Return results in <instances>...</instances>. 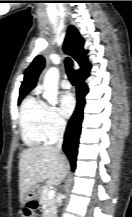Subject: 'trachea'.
Returning <instances> with one entry per match:
<instances>
[{"mask_svg":"<svg viewBox=\"0 0 132 217\" xmlns=\"http://www.w3.org/2000/svg\"><path fill=\"white\" fill-rule=\"evenodd\" d=\"M72 65H73V61L70 58H66V60H65L66 73L68 75L70 82L73 85H75L76 84V75H75V72H74Z\"/></svg>","mask_w":132,"mask_h":217,"instance_id":"trachea-1","label":"trachea"}]
</instances>
